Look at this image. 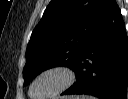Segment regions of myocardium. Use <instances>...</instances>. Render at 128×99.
Returning <instances> with one entry per match:
<instances>
[{
  "mask_svg": "<svg viewBox=\"0 0 128 99\" xmlns=\"http://www.w3.org/2000/svg\"><path fill=\"white\" fill-rule=\"evenodd\" d=\"M49 73H60L64 76L65 80L61 86H59L54 92H52L49 95L43 96V97H35L32 93L33 87L36 84V82L44 75L49 74ZM76 81V72L75 70L66 64H58V65H53L49 66L43 70H41L32 80L30 87H29V95L32 98H42V99H49V98H54L66 90H68Z\"/></svg>",
  "mask_w": 128,
  "mask_h": 99,
  "instance_id": "f54148a6",
  "label": "myocardium"
}]
</instances>
